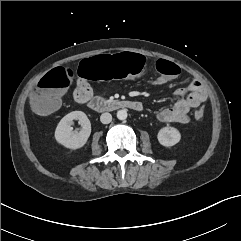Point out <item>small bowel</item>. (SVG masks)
Masks as SVG:
<instances>
[{"label": "small bowel", "mask_w": 241, "mask_h": 241, "mask_svg": "<svg viewBox=\"0 0 241 241\" xmlns=\"http://www.w3.org/2000/svg\"><path fill=\"white\" fill-rule=\"evenodd\" d=\"M174 77L161 75L153 83L156 85H163ZM174 95L177 98L176 102L172 106L158 112L157 118L159 121L187 124L190 122V110L199 107L207 99L206 89L198 79H193L186 88L177 89ZM72 96L76 102L85 104L94 97V91L87 80L80 79L78 80ZM137 105V108L141 107L140 103H137Z\"/></svg>", "instance_id": "1"}]
</instances>
